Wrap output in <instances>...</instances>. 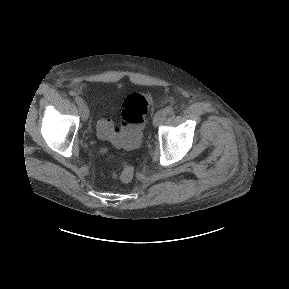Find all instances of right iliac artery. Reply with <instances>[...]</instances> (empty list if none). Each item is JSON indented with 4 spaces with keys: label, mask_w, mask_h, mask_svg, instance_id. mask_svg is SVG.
<instances>
[{
    "label": "right iliac artery",
    "mask_w": 289,
    "mask_h": 289,
    "mask_svg": "<svg viewBox=\"0 0 289 289\" xmlns=\"http://www.w3.org/2000/svg\"><path fill=\"white\" fill-rule=\"evenodd\" d=\"M75 102L78 104V105H81L84 103L83 99L81 97H75Z\"/></svg>",
    "instance_id": "1"
}]
</instances>
